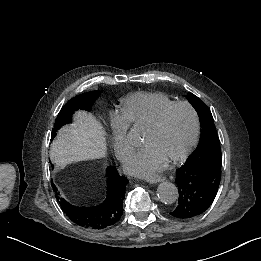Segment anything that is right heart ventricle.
I'll list each match as a JSON object with an SVG mask.
<instances>
[{
    "label": "right heart ventricle",
    "instance_id": "obj_1",
    "mask_svg": "<svg viewBox=\"0 0 261 261\" xmlns=\"http://www.w3.org/2000/svg\"><path fill=\"white\" fill-rule=\"evenodd\" d=\"M173 99L164 92H136L120 101V117L140 121Z\"/></svg>",
    "mask_w": 261,
    "mask_h": 261
}]
</instances>
